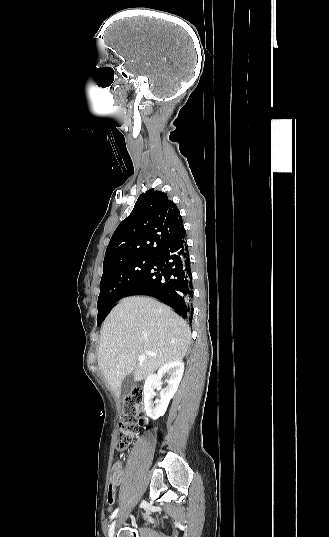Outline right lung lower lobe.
<instances>
[{
    "label": "right lung lower lobe",
    "mask_w": 329,
    "mask_h": 537,
    "mask_svg": "<svg viewBox=\"0 0 329 537\" xmlns=\"http://www.w3.org/2000/svg\"><path fill=\"white\" fill-rule=\"evenodd\" d=\"M186 232L163 247L126 296L149 295L158 298L183 318L192 315L193 284Z\"/></svg>",
    "instance_id": "right-lung-lower-lobe-1"
}]
</instances>
